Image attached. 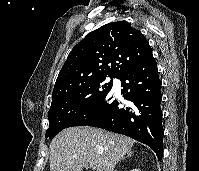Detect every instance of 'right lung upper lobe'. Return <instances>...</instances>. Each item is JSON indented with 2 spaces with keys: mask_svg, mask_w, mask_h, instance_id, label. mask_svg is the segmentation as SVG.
<instances>
[{
  "mask_svg": "<svg viewBox=\"0 0 199 171\" xmlns=\"http://www.w3.org/2000/svg\"><path fill=\"white\" fill-rule=\"evenodd\" d=\"M151 56L149 42L130 23L106 24L90 32L73 47L57 77L52 102L88 81L117 77Z\"/></svg>",
  "mask_w": 199,
  "mask_h": 171,
  "instance_id": "1",
  "label": "right lung upper lobe"
}]
</instances>
